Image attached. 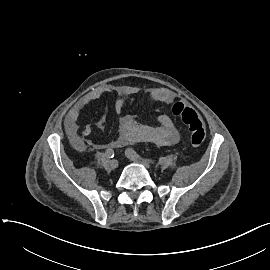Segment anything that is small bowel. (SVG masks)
I'll return each instance as SVG.
<instances>
[{
    "instance_id": "1",
    "label": "small bowel",
    "mask_w": 270,
    "mask_h": 270,
    "mask_svg": "<svg viewBox=\"0 0 270 270\" xmlns=\"http://www.w3.org/2000/svg\"><path fill=\"white\" fill-rule=\"evenodd\" d=\"M136 92L135 87H116L112 85L100 86L87 93L76 105H74L66 117L67 134L77 140H84L92 133L90 124L80 125L79 119L82 111L90 103L101 98L102 96L115 93L117 99L114 102L113 108L117 114H121L129 96ZM150 100L170 104L174 99V93L167 88H153L147 92ZM106 112H104L96 122L97 128L103 130L105 128ZM180 139L179 130L172 120L167 115L157 118V125L150 126L137 122L130 114H124L120 118L119 134L115 140L106 147H124L135 143H153L158 146H172Z\"/></svg>"
}]
</instances>
